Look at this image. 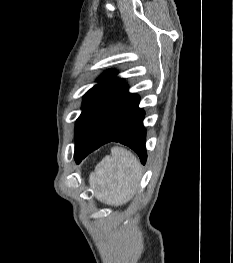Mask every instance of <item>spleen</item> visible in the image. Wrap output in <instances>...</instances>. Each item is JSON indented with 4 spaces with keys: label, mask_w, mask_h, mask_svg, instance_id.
Returning a JSON list of instances; mask_svg holds the SVG:
<instances>
[{
    "label": "spleen",
    "mask_w": 233,
    "mask_h": 263,
    "mask_svg": "<svg viewBox=\"0 0 233 263\" xmlns=\"http://www.w3.org/2000/svg\"><path fill=\"white\" fill-rule=\"evenodd\" d=\"M141 164L128 150L115 146L89 176L95 197L107 204L119 206L128 202L138 187Z\"/></svg>",
    "instance_id": "1"
}]
</instances>
